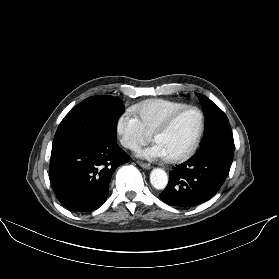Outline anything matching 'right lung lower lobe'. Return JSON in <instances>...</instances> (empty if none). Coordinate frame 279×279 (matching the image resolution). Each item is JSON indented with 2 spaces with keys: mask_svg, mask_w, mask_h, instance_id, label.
Segmentation results:
<instances>
[{
  "mask_svg": "<svg viewBox=\"0 0 279 279\" xmlns=\"http://www.w3.org/2000/svg\"><path fill=\"white\" fill-rule=\"evenodd\" d=\"M129 160L112 136L52 149L49 169L52 188L68 210H96L107 199L111 175Z\"/></svg>",
  "mask_w": 279,
  "mask_h": 279,
  "instance_id": "98d812e1",
  "label": "right lung lower lobe"
}]
</instances>
